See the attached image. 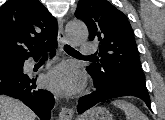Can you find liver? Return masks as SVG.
<instances>
[{
	"mask_svg": "<svg viewBox=\"0 0 165 120\" xmlns=\"http://www.w3.org/2000/svg\"><path fill=\"white\" fill-rule=\"evenodd\" d=\"M35 113L21 101L0 95V120H35Z\"/></svg>",
	"mask_w": 165,
	"mask_h": 120,
	"instance_id": "obj_1",
	"label": "liver"
}]
</instances>
